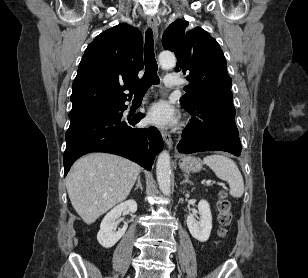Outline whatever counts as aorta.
<instances>
[{"mask_svg":"<svg viewBox=\"0 0 308 278\" xmlns=\"http://www.w3.org/2000/svg\"><path fill=\"white\" fill-rule=\"evenodd\" d=\"M159 62L164 67H171L176 64L175 55L170 51H163L159 54ZM171 169L170 155L167 151H162L156 164V176L161 192L169 196L171 193Z\"/></svg>","mask_w":308,"mask_h":278,"instance_id":"obj_1","label":"aorta"}]
</instances>
